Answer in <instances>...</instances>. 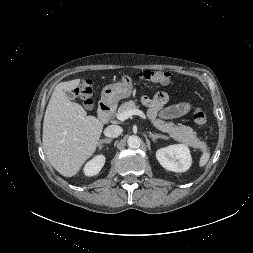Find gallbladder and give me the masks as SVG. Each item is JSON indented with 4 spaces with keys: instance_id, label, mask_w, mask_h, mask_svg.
<instances>
[{
    "instance_id": "gallbladder-1",
    "label": "gallbladder",
    "mask_w": 253,
    "mask_h": 253,
    "mask_svg": "<svg viewBox=\"0 0 253 253\" xmlns=\"http://www.w3.org/2000/svg\"><path fill=\"white\" fill-rule=\"evenodd\" d=\"M66 95L71 100L75 99V97H76L72 91L66 92Z\"/></svg>"
}]
</instances>
